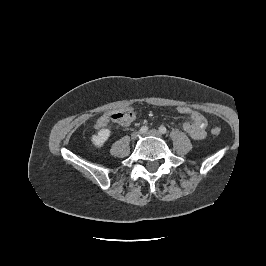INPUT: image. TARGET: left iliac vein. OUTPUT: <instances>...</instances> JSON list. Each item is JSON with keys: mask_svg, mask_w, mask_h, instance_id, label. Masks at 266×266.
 Masks as SVG:
<instances>
[{"mask_svg": "<svg viewBox=\"0 0 266 266\" xmlns=\"http://www.w3.org/2000/svg\"><path fill=\"white\" fill-rule=\"evenodd\" d=\"M146 135L156 136V137H159V138L162 137L161 133L158 130H155V129H152V130L148 131L146 133Z\"/></svg>", "mask_w": 266, "mask_h": 266, "instance_id": "4c4485c4", "label": "left iliac vein"}]
</instances>
